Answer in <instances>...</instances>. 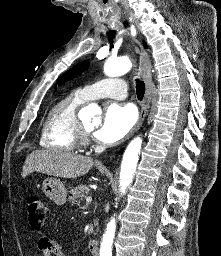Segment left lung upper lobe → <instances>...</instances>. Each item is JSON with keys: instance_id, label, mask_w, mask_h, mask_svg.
<instances>
[{"instance_id": "5c2ea615", "label": "left lung upper lobe", "mask_w": 221, "mask_h": 256, "mask_svg": "<svg viewBox=\"0 0 221 256\" xmlns=\"http://www.w3.org/2000/svg\"><path fill=\"white\" fill-rule=\"evenodd\" d=\"M88 66H89L88 60L78 63L77 65H75L74 67H72L70 70H68L63 74V76L59 80V85L81 74L87 69Z\"/></svg>"}]
</instances>
